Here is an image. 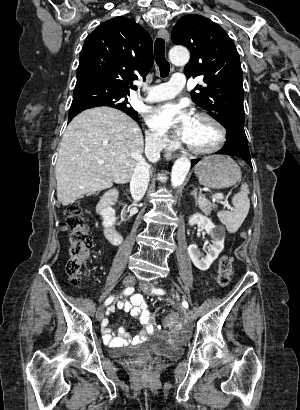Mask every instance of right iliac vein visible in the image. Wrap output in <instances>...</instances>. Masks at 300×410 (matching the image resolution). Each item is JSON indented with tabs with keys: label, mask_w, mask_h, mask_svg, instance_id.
I'll list each match as a JSON object with an SVG mask.
<instances>
[{
	"label": "right iliac vein",
	"mask_w": 300,
	"mask_h": 410,
	"mask_svg": "<svg viewBox=\"0 0 300 410\" xmlns=\"http://www.w3.org/2000/svg\"><path fill=\"white\" fill-rule=\"evenodd\" d=\"M136 282V279L132 275H128L123 279L124 286H133ZM104 317V306H100L96 312V318L100 321Z\"/></svg>",
	"instance_id": "obj_1"
}]
</instances>
